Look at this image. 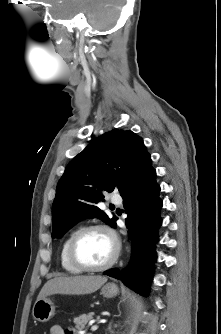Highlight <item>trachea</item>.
Segmentation results:
<instances>
[{"label":"trachea","instance_id":"1","mask_svg":"<svg viewBox=\"0 0 221 334\" xmlns=\"http://www.w3.org/2000/svg\"><path fill=\"white\" fill-rule=\"evenodd\" d=\"M110 208H114V205H110Z\"/></svg>","mask_w":221,"mask_h":334}]
</instances>
